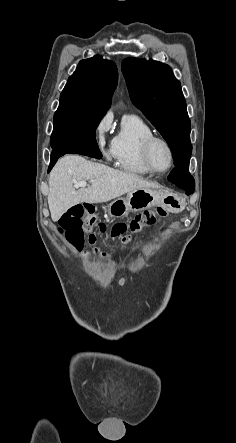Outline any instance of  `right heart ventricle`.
Listing matches in <instances>:
<instances>
[{
	"label": "right heart ventricle",
	"mask_w": 236,
	"mask_h": 443,
	"mask_svg": "<svg viewBox=\"0 0 236 443\" xmlns=\"http://www.w3.org/2000/svg\"><path fill=\"white\" fill-rule=\"evenodd\" d=\"M154 135L151 127L137 115H127L122 119L113 139L112 158L119 169L138 175L151 174L142 159V143Z\"/></svg>",
	"instance_id": "obj_1"
}]
</instances>
